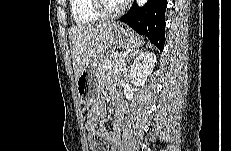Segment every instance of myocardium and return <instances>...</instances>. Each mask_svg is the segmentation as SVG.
<instances>
[{
    "mask_svg": "<svg viewBox=\"0 0 231 151\" xmlns=\"http://www.w3.org/2000/svg\"><path fill=\"white\" fill-rule=\"evenodd\" d=\"M93 10L101 19L112 20L125 12L126 5L124 3L120 4L118 9L112 12L107 9L105 0H93Z\"/></svg>",
    "mask_w": 231,
    "mask_h": 151,
    "instance_id": "myocardium-1",
    "label": "myocardium"
}]
</instances>
